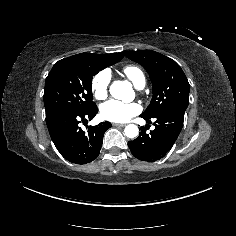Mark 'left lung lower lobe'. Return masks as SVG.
Listing matches in <instances>:
<instances>
[{"label": "left lung lower lobe", "mask_w": 236, "mask_h": 236, "mask_svg": "<svg viewBox=\"0 0 236 236\" xmlns=\"http://www.w3.org/2000/svg\"><path fill=\"white\" fill-rule=\"evenodd\" d=\"M185 110V107L175 106L153 117H142L150 124L153 120L155 128L148 133L142 127L139 137L128 142L133 156L147 162H155L164 157L181 132Z\"/></svg>", "instance_id": "left-lung-lower-lobe-1"}]
</instances>
